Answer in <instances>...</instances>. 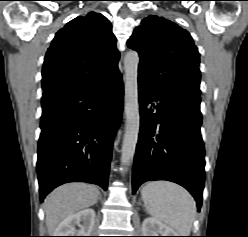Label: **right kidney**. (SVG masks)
I'll return each instance as SVG.
<instances>
[{
	"label": "right kidney",
	"mask_w": 248,
	"mask_h": 237,
	"mask_svg": "<svg viewBox=\"0 0 248 237\" xmlns=\"http://www.w3.org/2000/svg\"><path fill=\"white\" fill-rule=\"evenodd\" d=\"M94 223L95 211L91 208L84 209L65 218L58 225L55 236H90ZM76 226L80 228L78 231Z\"/></svg>",
	"instance_id": "1"
}]
</instances>
